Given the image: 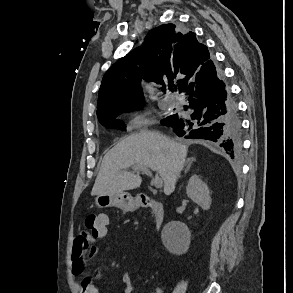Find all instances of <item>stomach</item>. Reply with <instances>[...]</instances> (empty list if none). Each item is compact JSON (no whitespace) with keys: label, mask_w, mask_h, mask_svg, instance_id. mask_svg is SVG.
Instances as JSON below:
<instances>
[{"label":"stomach","mask_w":293,"mask_h":293,"mask_svg":"<svg viewBox=\"0 0 293 293\" xmlns=\"http://www.w3.org/2000/svg\"><path fill=\"white\" fill-rule=\"evenodd\" d=\"M95 204L99 208L117 207L123 211H132L136 207L135 200L127 192H120L114 195H97Z\"/></svg>","instance_id":"0dacf381"}]
</instances>
